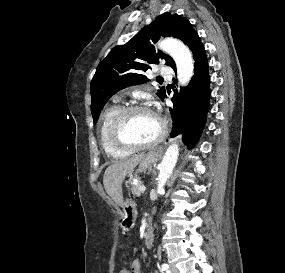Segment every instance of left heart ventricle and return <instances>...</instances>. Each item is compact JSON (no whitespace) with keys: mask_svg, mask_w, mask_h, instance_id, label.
Returning <instances> with one entry per match:
<instances>
[{"mask_svg":"<svg viewBox=\"0 0 285 273\" xmlns=\"http://www.w3.org/2000/svg\"><path fill=\"white\" fill-rule=\"evenodd\" d=\"M160 132V124L156 117L147 111L135 112L128 116L124 124L122 135L134 144L150 142Z\"/></svg>","mask_w":285,"mask_h":273,"instance_id":"1","label":"left heart ventricle"}]
</instances>
